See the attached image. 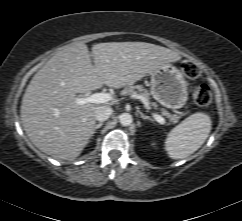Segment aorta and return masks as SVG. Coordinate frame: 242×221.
Masks as SVG:
<instances>
[{
  "label": "aorta",
  "mask_w": 242,
  "mask_h": 221,
  "mask_svg": "<svg viewBox=\"0 0 242 221\" xmlns=\"http://www.w3.org/2000/svg\"><path fill=\"white\" fill-rule=\"evenodd\" d=\"M119 122L122 126H130L133 122V118L129 113H122L119 116Z\"/></svg>",
  "instance_id": "aorta-1"
}]
</instances>
